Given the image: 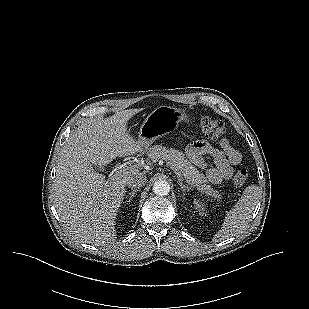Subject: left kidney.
Returning a JSON list of instances; mask_svg holds the SVG:
<instances>
[{
  "label": "left kidney",
  "instance_id": "obj_1",
  "mask_svg": "<svg viewBox=\"0 0 309 309\" xmlns=\"http://www.w3.org/2000/svg\"><path fill=\"white\" fill-rule=\"evenodd\" d=\"M194 205H195V209L197 210V211H199V213L201 214V215H204L205 214V205L204 204H202V202H200L199 200H195L194 201ZM201 211V212H200Z\"/></svg>",
  "mask_w": 309,
  "mask_h": 309
}]
</instances>
